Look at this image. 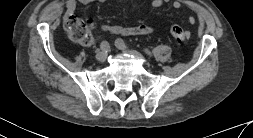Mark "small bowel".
Listing matches in <instances>:
<instances>
[{"label":"small bowel","instance_id":"small-bowel-1","mask_svg":"<svg viewBox=\"0 0 253 138\" xmlns=\"http://www.w3.org/2000/svg\"><path fill=\"white\" fill-rule=\"evenodd\" d=\"M94 1L98 2H106L107 0H67L65 2V17H69L73 14L77 7V2L82 4H88ZM171 0H151V5L155 8L161 7L165 4H168ZM183 6V3L179 0L174 1L172 3V7L174 9H180ZM136 26H120V25H110V24H102L100 29L104 32H110L113 34L123 35V36H136V35H148L154 32V28L152 26L145 24V18H139L135 20ZM188 21L191 24L196 22L194 17H189Z\"/></svg>","mask_w":253,"mask_h":138}]
</instances>
